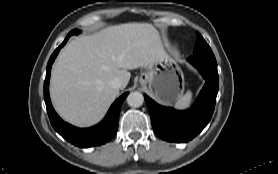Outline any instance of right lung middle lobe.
Returning a JSON list of instances; mask_svg holds the SVG:
<instances>
[{
  "mask_svg": "<svg viewBox=\"0 0 278 174\" xmlns=\"http://www.w3.org/2000/svg\"><path fill=\"white\" fill-rule=\"evenodd\" d=\"M80 32H81L80 30H73L67 36L69 37V36H71L73 34H79Z\"/></svg>",
  "mask_w": 278,
  "mask_h": 174,
  "instance_id": "obj_1",
  "label": "right lung middle lobe"
}]
</instances>
